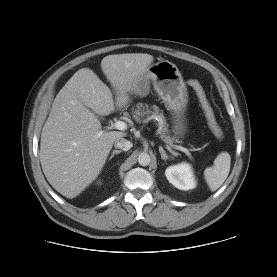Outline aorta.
I'll return each instance as SVG.
<instances>
[{
	"label": "aorta",
	"mask_w": 277,
	"mask_h": 277,
	"mask_svg": "<svg viewBox=\"0 0 277 277\" xmlns=\"http://www.w3.org/2000/svg\"><path fill=\"white\" fill-rule=\"evenodd\" d=\"M150 160H151L150 155L148 153H146V152H142L138 156V163L141 166H147V165H149Z\"/></svg>",
	"instance_id": "aorta-1"
}]
</instances>
